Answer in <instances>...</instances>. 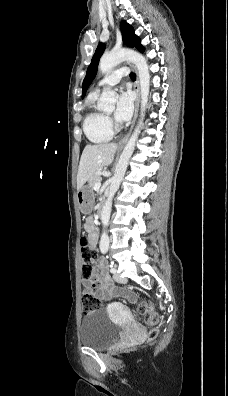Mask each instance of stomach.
Segmentation results:
<instances>
[{
  "mask_svg": "<svg viewBox=\"0 0 228 396\" xmlns=\"http://www.w3.org/2000/svg\"><path fill=\"white\" fill-rule=\"evenodd\" d=\"M94 200H95L94 191L88 185L82 186L77 191L78 206L83 214L86 215L92 212Z\"/></svg>",
  "mask_w": 228,
  "mask_h": 396,
  "instance_id": "stomach-1",
  "label": "stomach"
}]
</instances>
